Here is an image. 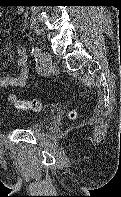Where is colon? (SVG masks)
Segmentation results:
<instances>
[{"label": "colon", "mask_w": 121, "mask_h": 197, "mask_svg": "<svg viewBox=\"0 0 121 197\" xmlns=\"http://www.w3.org/2000/svg\"><path fill=\"white\" fill-rule=\"evenodd\" d=\"M7 101L14 105L17 109L23 111H32V112H39L42 109V103L40 100H22L17 98L13 94H9L7 96ZM70 118L76 117V112L72 110L69 114Z\"/></svg>", "instance_id": "colon-1"}]
</instances>
